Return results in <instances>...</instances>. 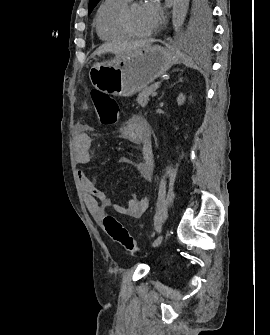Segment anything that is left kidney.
<instances>
[{"label":"left kidney","mask_w":270,"mask_h":335,"mask_svg":"<svg viewBox=\"0 0 270 335\" xmlns=\"http://www.w3.org/2000/svg\"><path fill=\"white\" fill-rule=\"evenodd\" d=\"M177 102H178V106H182V104H184L185 102V96H183V94H179L177 98Z\"/></svg>","instance_id":"5707ae66"}]
</instances>
